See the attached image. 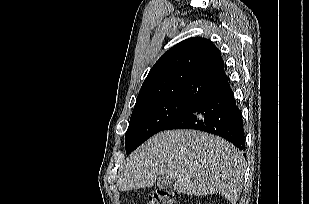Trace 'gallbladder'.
<instances>
[{"mask_svg":"<svg viewBox=\"0 0 309 204\" xmlns=\"http://www.w3.org/2000/svg\"><path fill=\"white\" fill-rule=\"evenodd\" d=\"M173 180L167 176H161L157 180V187L160 189H168L172 186Z\"/></svg>","mask_w":309,"mask_h":204,"instance_id":"bac80fb5","label":"gallbladder"}]
</instances>
